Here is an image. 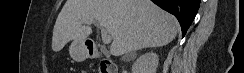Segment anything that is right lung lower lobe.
<instances>
[{
  "label": "right lung lower lobe",
  "mask_w": 244,
  "mask_h": 73,
  "mask_svg": "<svg viewBox=\"0 0 244 73\" xmlns=\"http://www.w3.org/2000/svg\"><path fill=\"white\" fill-rule=\"evenodd\" d=\"M162 9L176 16L181 24L183 36L194 20L200 0H151Z\"/></svg>",
  "instance_id": "1"
}]
</instances>
